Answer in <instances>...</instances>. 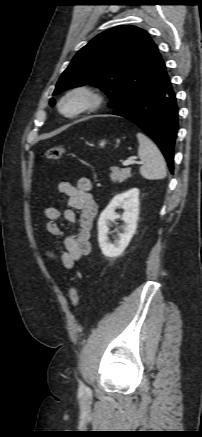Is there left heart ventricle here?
I'll return each instance as SVG.
<instances>
[{
    "label": "left heart ventricle",
    "instance_id": "1",
    "mask_svg": "<svg viewBox=\"0 0 202 437\" xmlns=\"http://www.w3.org/2000/svg\"><path fill=\"white\" fill-rule=\"evenodd\" d=\"M80 104H81V100L79 98H72L65 103L64 109L65 111L70 112L76 109L77 107H79Z\"/></svg>",
    "mask_w": 202,
    "mask_h": 437
}]
</instances>
